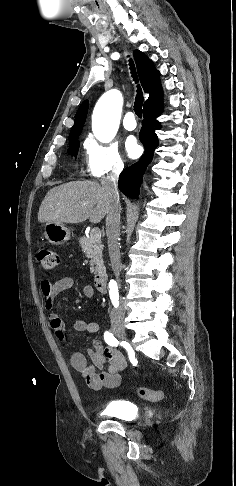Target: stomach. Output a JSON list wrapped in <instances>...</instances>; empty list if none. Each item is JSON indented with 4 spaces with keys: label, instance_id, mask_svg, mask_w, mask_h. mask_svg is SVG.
Returning <instances> with one entry per match:
<instances>
[{
    "label": "stomach",
    "instance_id": "obj_1",
    "mask_svg": "<svg viewBox=\"0 0 236 486\" xmlns=\"http://www.w3.org/2000/svg\"><path fill=\"white\" fill-rule=\"evenodd\" d=\"M46 239L53 245H61L70 239V230L63 224L47 222L44 228Z\"/></svg>",
    "mask_w": 236,
    "mask_h": 486
}]
</instances>
